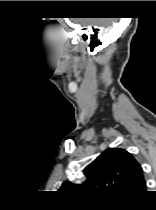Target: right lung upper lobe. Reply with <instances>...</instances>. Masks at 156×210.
<instances>
[{
  "label": "right lung upper lobe",
  "mask_w": 156,
  "mask_h": 210,
  "mask_svg": "<svg viewBox=\"0 0 156 210\" xmlns=\"http://www.w3.org/2000/svg\"><path fill=\"white\" fill-rule=\"evenodd\" d=\"M86 180L74 184L65 181L60 191H71L85 200L131 201L146 191L143 170L126 150L109 149L85 169Z\"/></svg>",
  "instance_id": "1"
}]
</instances>
